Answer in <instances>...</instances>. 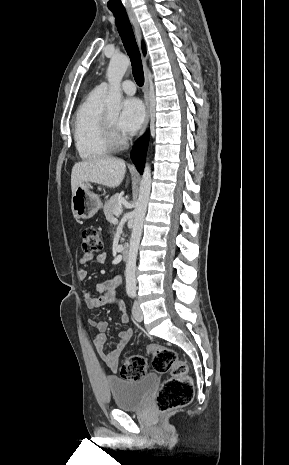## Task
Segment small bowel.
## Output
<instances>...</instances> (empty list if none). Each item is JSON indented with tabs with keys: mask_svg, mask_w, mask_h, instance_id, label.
<instances>
[{
	"mask_svg": "<svg viewBox=\"0 0 289 465\" xmlns=\"http://www.w3.org/2000/svg\"><path fill=\"white\" fill-rule=\"evenodd\" d=\"M93 258V253H85L82 257H80V267L77 271L79 280H86L87 271L85 269V265ZM95 259L97 263L103 264L107 259V254L105 252H101L96 255ZM119 283V277L100 282L96 285L94 290H87L84 292V299L89 308H99L103 305L112 303L117 304L122 311L121 321L123 323H127L129 321V317L125 311V307L117 300ZM88 322L91 326L98 330V334L94 339V344L100 353L101 358L113 372H116L118 369V358L132 337V329L129 328L121 331L118 334V341L115 348L109 352H104V344L106 341L105 333L108 328V322L106 320H98L96 318H90Z\"/></svg>",
	"mask_w": 289,
	"mask_h": 465,
	"instance_id": "c3829d8e",
	"label": "small bowel"
}]
</instances>
